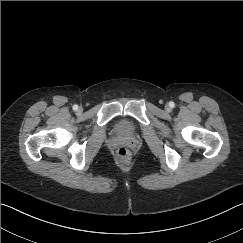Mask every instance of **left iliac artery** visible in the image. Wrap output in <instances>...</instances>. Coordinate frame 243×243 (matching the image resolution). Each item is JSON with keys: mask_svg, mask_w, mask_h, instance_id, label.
<instances>
[{"mask_svg": "<svg viewBox=\"0 0 243 243\" xmlns=\"http://www.w3.org/2000/svg\"><path fill=\"white\" fill-rule=\"evenodd\" d=\"M169 105H170V107H174L175 106L174 102H170Z\"/></svg>", "mask_w": 243, "mask_h": 243, "instance_id": "1", "label": "left iliac artery"}]
</instances>
